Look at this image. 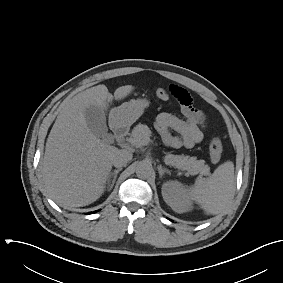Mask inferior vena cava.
I'll return each instance as SVG.
<instances>
[{
    "label": "inferior vena cava",
    "instance_id": "602c4592",
    "mask_svg": "<svg viewBox=\"0 0 283 283\" xmlns=\"http://www.w3.org/2000/svg\"><path fill=\"white\" fill-rule=\"evenodd\" d=\"M132 157L133 155L131 152L127 150H118L112 158V164L116 168H121L125 166L132 159Z\"/></svg>",
    "mask_w": 283,
    "mask_h": 283
}]
</instances>
